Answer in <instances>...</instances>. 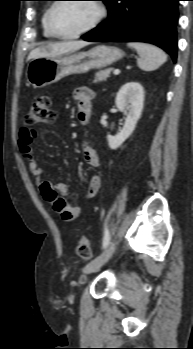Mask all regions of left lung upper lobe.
<instances>
[{"label":"left lung upper lobe","mask_w":193,"mask_h":349,"mask_svg":"<svg viewBox=\"0 0 193 349\" xmlns=\"http://www.w3.org/2000/svg\"><path fill=\"white\" fill-rule=\"evenodd\" d=\"M101 1H104L105 3H107L109 0H101ZM87 34V33H86Z\"/></svg>","instance_id":"obj_1"}]
</instances>
